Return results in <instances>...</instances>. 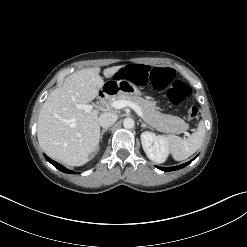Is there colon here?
<instances>
[{
    "mask_svg": "<svg viewBox=\"0 0 247 247\" xmlns=\"http://www.w3.org/2000/svg\"><path fill=\"white\" fill-rule=\"evenodd\" d=\"M114 76L120 82L129 79L136 85L143 86L151 83L157 89H166L167 97L174 105L185 101L191 93L188 84L175 79L174 71L171 68H153L145 63L139 65L133 64L126 69L123 67L116 69ZM187 117L191 121L197 120L198 109L196 106L189 107Z\"/></svg>",
    "mask_w": 247,
    "mask_h": 247,
    "instance_id": "1",
    "label": "colon"
}]
</instances>
